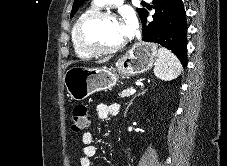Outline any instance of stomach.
<instances>
[{"instance_id": "0dacf381", "label": "stomach", "mask_w": 227, "mask_h": 166, "mask_svg": "<svg viewBox=\"0 0 227 166\" xmlns=\"http://www.w3.org/2000/svg\"><path fill=\"white\" fill-rule=\"evenodd\" d=\"M157 46L152 43H136L116 64V70L122 76H135L147 72L157 59ZM118 75L110 69L70 67L63 78L68 95L82 101L98 91H106L118 82Z\"/></svg>"}]
</instances>
